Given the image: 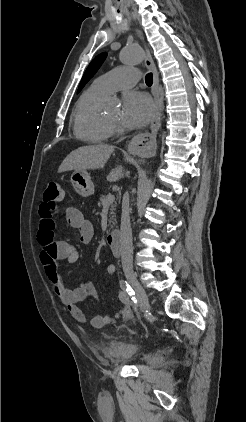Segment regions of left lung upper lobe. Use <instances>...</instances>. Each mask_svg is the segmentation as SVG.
Returning <instances> with one entry per match:
<instances>
[{"mask_svg":"<svg viewBox=\"0 0 246 422\" xmlns=\"http://www.w3.org/2000/svg\"><path fill=\"white\" fill-rule=\"evenodd\" d=\"M107 56V53H101L98 56H96L91 63L89 64L86 72L83 75V78L79 84L78 92L81 91V89L84 87V85L93 77V75L97 72V70L100 68L102 63L104 62L105 58Z\"/></svg>","mask_w":246,"mask_h":422,"instance_id":"1","label":"left lung upper lobe"}]
</instances>
